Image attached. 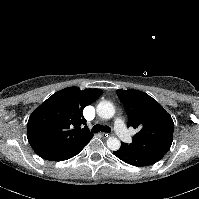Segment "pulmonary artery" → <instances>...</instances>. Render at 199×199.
I'll return each instance as SVG.
<instances>
[{"instance_id": "e3ab8cb5", "label": "pulmonary artery", "mask_w": 199, "mask_h": 199, "mask_svg": "<svg viewBox=\"0 0 199 199\" xmlns=\"http://www.w3.org/2000/svg\"><path fill=\"white\" fill-rule=\"evenodd\" d=\"M114 130L119 138L123 141L128 142L131 139V135L125 127L123 121L121 119H117L114 124Z\"/></svg>"}]
</instances>
